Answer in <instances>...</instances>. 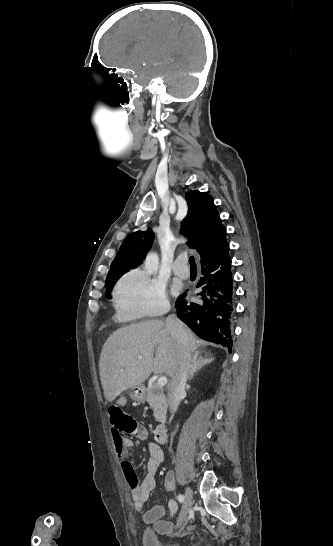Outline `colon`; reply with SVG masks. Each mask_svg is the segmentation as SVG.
<instances>
[{
  "instance_id": "5ec220e1",
  "label": "colon",
  "mask_w": 333,
  "mask_h": 546,
  "mask_svg": "<svg viewBox=\"0 0 333 546\" xmlns=\"http://www.w3.org/2000/svg\"><path fill=\"white\" fill-rule=\"evenodd\" d=\"M108 415L118 422L122 432L130 433L133 431V426L123 415V408L119 400H112L110 402Z\"/></svg>"
}]
</instances>
